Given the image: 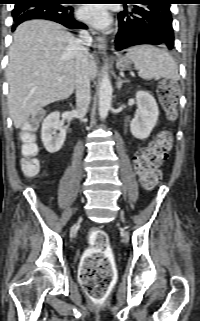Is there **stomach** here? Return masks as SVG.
Returning a JSON list of instances; mask_svg holds the SVG:
<instances>
[{"mask_svg": "<svg viewBox=\"0 0 200 321\" xmlns=\"http://www.w3.org/2000/svg\"><path fill=\"white\" fill-rule=\"evenodd\" d=\"M132 61L127 57H119L116 66L120 71H126L131 68Z\"/></svg>", "mask_w": 200, "mask_h": 321, "instance_id": "stomach-1", "label": "stomach"}]
</instances>
